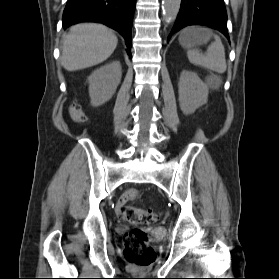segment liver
Here are the masks:
<instances>
[{
	"label": "liver",
	"instance_id": "obj_1",
	"mask_svg": "<svg viewBox=\"0 0 279 279\" xmlns=\"http://www.w3.org/2000/svg\"><path fill=\"white\" fill-rule=\"evenodd\" d=\"M118 39L108 27L83 23L70 28L63 39L61 65L67 71H77L97 65L111 56Z\"/></svg>",
	"mask_w": 279,
	"mask_h": 279
}]
</instances>
